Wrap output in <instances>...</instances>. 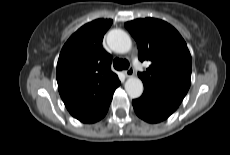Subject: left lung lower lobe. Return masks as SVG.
I'll use <instances>...</instances> for the list:
<instances>
[{
	"instance_id": "0a47b994",
	"label": "left lung lower lobe",
	"mask_w": 230,
	"mask_h": 155,
	"mask_svg": "<svg viewBox=\"0 0 230 155\" xmlns=\"http://www.w3.org/2000/svg\"><path fill=\"white\" fill-rule=\"evenodd\" d=\"M136 114L146 122L158 123L167 119L180 103L158 90L145 86L142 96L132 101Z\"/></svg>"
}]
</instances>
